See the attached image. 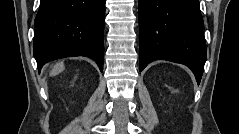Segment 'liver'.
Returning <instances> with one entry per match:
<instances>
[{
    "instance_id": "6515ba94",
    "label": "liver",
    "mask_w": 239,
    "mask_h": 134,
    "mask_svg": "<svg viewBox=\"0 0 239 134\" xmlns=\"http://www.w3.org/2000/svg\"><path fill=\"white\" fill-rule=\"evenodd\" d=\"M64 69H65L64 63H63V62H59V63H57V64L53 67L52 71L50 72V75H51V76L58 75V74L61 73Z\"/></svg>"
}]
</instances>
